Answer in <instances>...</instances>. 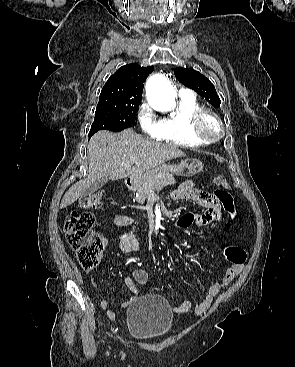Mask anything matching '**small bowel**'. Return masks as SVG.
I'll list each match as a JSON object with an SVG mask.
<instances>
[{"mask_svg":"<svg viewBox=\"0 0 295 367\" xmlns=\"http://www.w3.org/2000/svg\"><path fill=\"white\" fill-rule=\"evenodd\" d=\"M173 197L178 200H189L202 206L205 211L203 214L198 216H191V222L194 221L199 227H204L212 222L220 221L221 219V208L219 200L216 196H212L211 193L202 191L195 187L192 181H186L182 183L173 193ZM113 223L120 231L118 232L119 246L123 252L129 253L137 251L140 246V239L135 231L129 230V227L133 224V219L126 214H116L113 218ZM243 265L232 264L224 274L221 282L213 283L204 298L194 307V311L197 315H201L208 310L213 302V299L239 274ZM148 281V276L145 270L136 269L132 276H126L124 278L125 286L131 291L132 297L123 303V307L129 306L136 297L139 296V289L136 285H145ZM93 284L98 286V282L93 280ZM100 307L106 311L107 316L110 319H115L117 313L110 307L108 299H102L100 301ZM192 308L190 301L183 302L180 306L174 307V311L184 313Z\"/></svg>","mask_w":295,"mask_h":367,"instance_id":"obj_1","label":"small bowel"}]
</instances>
